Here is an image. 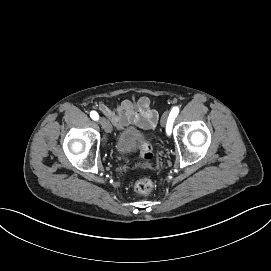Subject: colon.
Returning <instances> with one entry per match:
<instances>
[{
    "mask_svg": "<svg viewBox=\"0 0 271 271\" xmlns=\"http://www.w3.org/2000/svg\"><path fill=\"white\" fill-rule=\"evenodd\" d=\"M140 155L144 160H149L152 158V156H153L152 147L149 143H147V142L142 143ZM153 187H154V183L151 179L141 178L135 182V184L133 186V191L136 194L145 195V194L150 193L152 191Z\"/></svg>",
    "mask_w": 271,
    "mask_h": 271,
    "instance_id": "colon-1",
    "label": "colon"
}]
</instances>
